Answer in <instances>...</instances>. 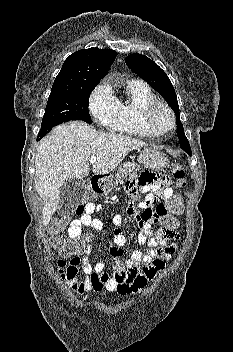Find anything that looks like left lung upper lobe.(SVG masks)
I'll return each mask as SVG.
<instances>
[{
	"label": "left lung upper lobe",
	"mask_w": 233,
	"mask_h": 352,
	"mask_svg": "<svg viewBox=\"0 0 233 352\" xmlns=\"http://www.w3.org/2000/svg\"><path fill=\"white\" fill-rule=\"evenodd\" d=\"M125 62L132 72L144 79L151 87H153L166 100L168 105L175 111L177 118V135L181 148L191 153L190 144L180 122L179 105L175 89L166 73L151 59L142 54H131Z\"/></svg>",
	"instance_id": "1"
}]
</instances>
